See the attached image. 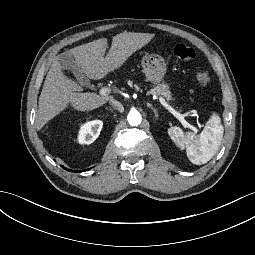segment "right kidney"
<instances>
[{
  "label": "right kidney",
  "mask_w": 255,
  "mask_h": 255,
  "mask_svg": "<svg viewBox=\"0 0 255 255\" xmlns=\"http://www.w3.org/2000/svg\"><path fill=\"white\" fill-rule=\"evenodd\" d=\"M102 126L101 121H93L82 125L78 138L79 142L85 144H91L94 142L99 136Z\"/></svg>",
  "instance_id": "ca27d5eb"
}]
</instances>
